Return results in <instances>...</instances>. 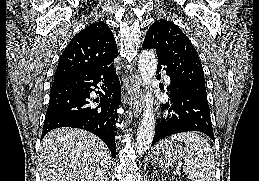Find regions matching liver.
<instances>
[{
  "label": "liver",
  "instance_id": "1",
  "mask_svg": "<svg viewBox=\"0 0 259 181\" xmlns=\"http://www.w3.org/2000/svg\"><path fill=\"white\" fill-rule=\"evenodd\" d=\"M110 151L96 135L77 128H58L42 140L41 181H102Z\"/></svg>",
  "mask_w": 259,
  "mask_h": 181
}]
</instances>
